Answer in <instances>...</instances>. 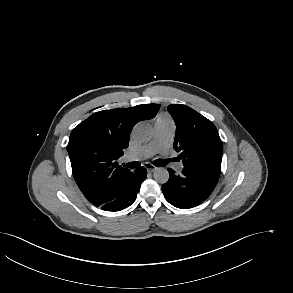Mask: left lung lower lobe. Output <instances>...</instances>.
Masks as SVG:
<instances>
[{"instance_id":"obj_1","label":"left lung lower lobe","mask_w":293,"mask_h":293,"mask_svg":"<svg viewBox=\"0 0 293 293\" xmlns=\"http://www.w3.org/2000/svg\"><path fill=\"white\" fill-rule=\"evenodd\" d=\"M169 180L162 185L165 199L175 207L188 209L204 202L214 190L219 177L198 170L183 168L176 175L168 168Z\"/></svg>"}]
</instances>
